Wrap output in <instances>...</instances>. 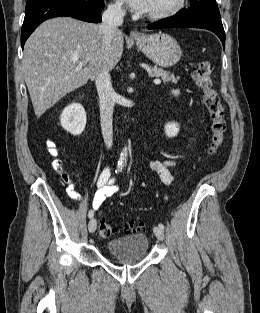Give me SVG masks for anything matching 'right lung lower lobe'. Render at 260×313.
<instances>
[{
	"label": "right lung lower lobe",
	"instance_id": "1",
	"mask_svg": "<svg viewBox=\"0 0 260 313\" xmlns=\"http://www.w3.org/2000/svg\"><path fill=\"white\" fill-rule=\"evenodd\" d=\"M103 0H27L25 18L21 30L22 48L30 34L43 21L69 16L87 22L101 21Z\"/></svg>",
	"mask_w": 260,
	"mask_h": 313
}]
</instances>
